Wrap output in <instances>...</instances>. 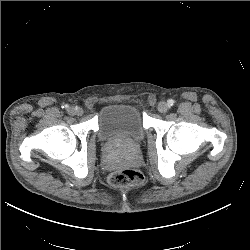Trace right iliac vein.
Returning a JSON list of instances; mask_svg holds the SVG:
<instances>
[{"label":"right iliac vein","instance_id":"63e3f726","mask_svg":"<svg viewBox=\"0 0 250 250\" xmlns=\"http://www.w3.org/2000/svg\"><path fill=\"white\" fill-rule=\"evenodd\" d=\"M68 113H69L70 115L81 116V115L83 114V109H82V108L69 107V108H68Z\"/></svg>","mask_w":250,"mask_h":250}]
</instances>
